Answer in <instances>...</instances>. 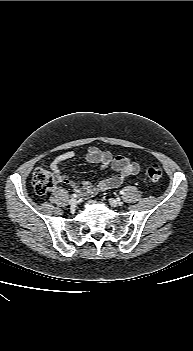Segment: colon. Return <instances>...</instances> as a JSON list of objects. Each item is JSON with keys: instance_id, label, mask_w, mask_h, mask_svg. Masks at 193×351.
I'll list each match as a JSON object with an SVG mask.
<instances>
[{"instance_id": "obj_1", "label": "colon", "mask_w": 193, "mask_h": 351, "mask_svg": "<svg viewBox=\"0 0 193 351\" xmlns=\"http://www.w3.org/2000/svg\"><path fill=\"white\" fill-rule=\"evenodd\" d=\"M147 177L149 180L156 182L162 178L163 171L159 164H152L147 168ZM32 185L39 195H44L56 186V180L53 175L43 168H37L32 174Z\"/></svg>"}]
</instances>
